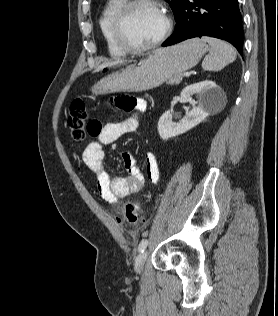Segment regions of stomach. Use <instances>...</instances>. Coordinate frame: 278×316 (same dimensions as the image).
<instances>
[{
	"label": "stomach",
	"instance_id": "stomach-1",
	"mask_svg": "<svg viewBox=\"0 0 278 316\" xmlns=\"http://www.w3.org/2000/svg\"><path fill=\"white\" fill-rule=\"evenodd\" d=\"M207 50L206 44L198 38L156 49L140 61L100 79L92 92H141L156 88L197 65Z\"/></svg>",
	"mask_w": 278,
	"mask_h": 316
}]
</instances>
